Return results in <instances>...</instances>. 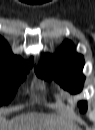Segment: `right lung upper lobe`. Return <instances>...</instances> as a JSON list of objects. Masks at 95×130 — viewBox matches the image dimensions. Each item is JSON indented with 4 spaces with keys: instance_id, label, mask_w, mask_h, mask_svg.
Instances as JSON below:
<instances>
[{
    "instance_id": "1",
    "label": "right lung upper lobe",
    "mask_w": 95,
    "mask_h": 130,
    "mask_svg": "<svg viewBox=\"0 0 95 130\" xmlns=\"http://www.w3.org/2000/svg\"><path fill=\"white\" fill-rule=\"evenodd\" d=\"M4 70H28V68L20 57L10 52L6 41L0 38V71Z\"/></svg>"
}]
</instances>
